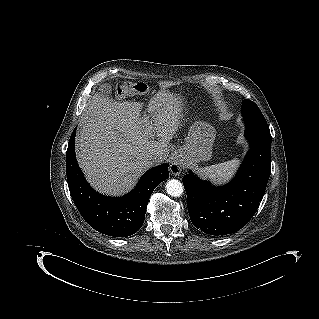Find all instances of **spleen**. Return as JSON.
<instances>
[{
    "label": "spleen",
    "instance_id": "3e777b00",
    "mask_svg": "<svg viewBox=\"0 0 319 319\" xmlns=\"http://www.w3.org/2000/svg\"><path fill=\"white\" fill-rule=\"evenodd\" d=\"M238 164L239 160L234 159L224 163L203 167L200 169V173L215 181L227 180L234 173Z\"/></svg>",
    "mask_w": 319,
    "mask_h": 319
}]
</instances>
